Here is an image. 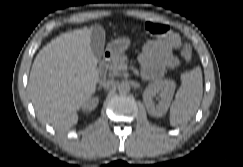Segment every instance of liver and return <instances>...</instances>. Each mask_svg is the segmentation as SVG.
<instances>
[{"label":"liver","instance_id":"obj_1","mask_svg":"<svg viewBox=\"0 0 243 167\" xmlns=\"http://www.w3.org/2000/svg\"><path fill=\"white\" fill-rule=\"evenodd\" d=\"M92 29L65 33L37 54L29 89L38 119L56 129L77 124V110L94 94L99 81L91 48Z\"/></svg>","mask_w":243,"mask_h":167}]
</instances>
